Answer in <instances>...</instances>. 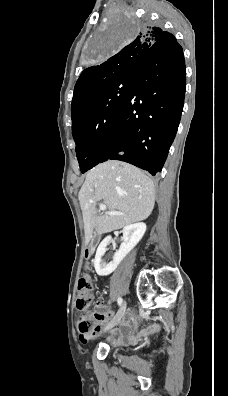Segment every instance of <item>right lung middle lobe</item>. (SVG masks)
<instances>
[{
	"instance_id": "obj_1",
	"label": "right lung middle lobe",
	"mask_w": 228,
	"mask_h": 396,
	"mask_svg": "<svg viewBox=\"0 0 228 396\" xmlns=\"http://www.w3.org/2000/svg\"><path fill=\"white\" fill-rule=\"evenodd\" d=\"M122 24L127 26V34L118 31ZM144 27L145 21L138 20L133 15L124 16L119 19L117 26L101 34L94 44L93 57H107ZM131 83L132 76L112 81L87 102L75 118H72V135L82 173L100 163L106 154L113 125Z\"/></svg>"
}]
</instances>
